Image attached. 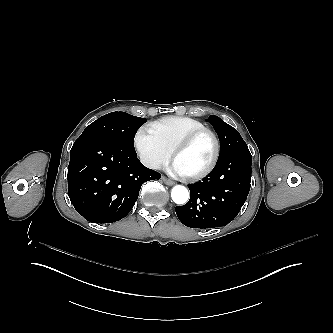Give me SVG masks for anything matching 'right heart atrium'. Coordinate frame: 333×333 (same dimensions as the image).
Listing matches in <instances>:
<instances>
[{
  "label": "right heart atrium",
  "instance_id": "d8ad5b80",
  "mask_svg": "<svg viewBox=\"0 0 333 333\" xmlns=\"http://www.w3.org/2000/svg\"><path fill=\"white\" fill-rule=\"evenodd\" d=\"M135 148L144 164L153 170L163 168L170 155L162 143L145 137L143 129L136 135Z\"/></svg>",
  "mask_w": 333,
  "mask_h": 333
}]
</instances>
